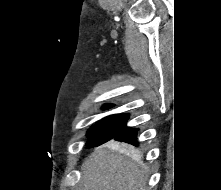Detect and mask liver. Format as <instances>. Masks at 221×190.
<instances>
[{
	"instance_id": "obj_1",
	"label": "liver",
	"mask_w": 221,
	"mask_h": 190,
	"mask_svg": "<svg viewBox=\"0 0 221 190\" xmlns=\"http://www.w3.org/2000/svg\"><path fill=\"white\" fill-rule=\"evenodd\" d=\"M81 169L83 190H147L141 156L115 143L95 150Z\"/></svg>"
}]
</instances>
